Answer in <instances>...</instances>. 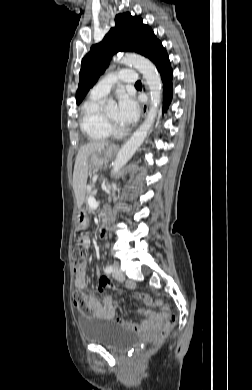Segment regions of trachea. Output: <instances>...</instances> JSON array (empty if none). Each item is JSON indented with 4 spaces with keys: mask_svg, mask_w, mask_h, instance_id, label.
Returning <instances> with one entry per match:
<instances>
[{
    "mask_svg": "<svg viewBox=\"0 0 252 390\" xmlns=\"http://www.w3.org/2000/svg\"><path fill=\"white\" fill-rule=\"evenodd\" d=\"M135 86H141V82H140V81H137V82L135 83Z\"/></svg>",
    "mask_w": 252,
    "mask_h": 390,
    "instance_id": "trachea-1",
    "label": "trachea"
}]
</instances>
